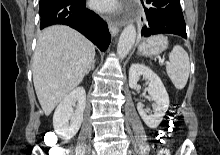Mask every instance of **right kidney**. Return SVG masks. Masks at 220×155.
Instances as JSON below:
<instances>
[{"mask_svg":"<svg viewBox=\"0 0 220 155\" xmlns=\"http://www.w3.org/2000/svg\"><path fill=\"white\" fill-rule=\"evenodd\" d=\"M75 102H77V108L74 112L72 106ZM85 106L86 92L83 87H78L68 94L54 112L53 126L55 133L63 139L73 138L83 122Z\"/></svg>","mask_w":220,"mask_h":155,"instance_id":"ca27d5eb","label":"right kidney"}]
</instances>
